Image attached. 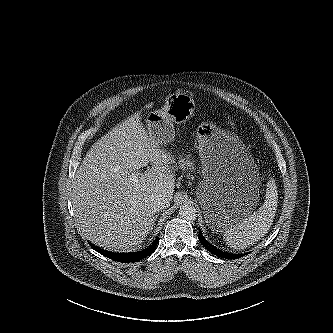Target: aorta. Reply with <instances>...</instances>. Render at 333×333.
I'll return each instance as SVG.
<instances>
[{
    "label": "aorta",
    "mask_w": 333,
    "mask_h": 333,
    "mask_svg": "<svg viewBox=\"0 0 333 333\" xmlns=\"http://www.w3.org/2000/svg\"><path fill=\"white\" fill-rule=\"evenodd\" d=\"M179 215L187 221H193L197 217V209L192 205L184 204L179 209Z\"/></svg>",
    "instance_id": "obj_1"
}]
</instances>
